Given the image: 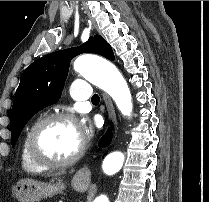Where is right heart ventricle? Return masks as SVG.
I'll return each mask as SVG.
<instances>
[{
	"mask_svg": "<svg viewBox=\"0 0 209 202\" xmlns=\"http://www.w3.org/2000/svg\"><path fill=\"white\" fill-rule=\"evenodd\" d=\"M34 124L35 123H32L23 134L22 141H21V148H20V160H21V165L24 170H26L27 172H31V173H39V172H42L44 169L38 167L30 160L27 154V149H26L28 135Z\"/></svg>",
	"mask_w": 209,
	"mask_h": 202,
	"instance_id": "1",
	"label": "right heart ventricle"
}]
</instances>
